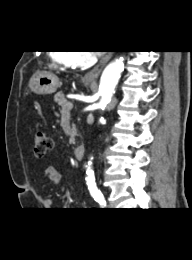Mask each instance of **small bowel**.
Here are the masks:
<instances>
[{
    "mask_svg": "<svg viewBox=\"0 0 192 260\" xmlns=\"http://www.w3.org/2000/svg\"><path fill=\"white\" fill-rule=\"evenodd\" d=\"M45 177L49 182H51L53 185L58 186L61 183L62 176L60 173L59 168L56 165H49L45 169ZM42 204L45 208L49 209L53 205V201L50 198L42 197Z\"/></svg>",
    "mask_w": 192,
    "mask_h": 260,
    "instance_id": "small-bowel-1",
    "label": "small bowel"
}]
</instances>
